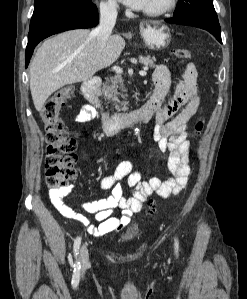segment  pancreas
Returning a JSON list of instances; mask_svg holds the SVG:
<instances>
[{"instance_id":"1","label":"pancreas","mask_w":247,"mask_h":299,"mask_svg":"<svg viewBox=\"0 0 247 299\" xmlns=\"http://www.w3.org/2000/svg\"><path fill=\"white\" fill-rule=\"evenodd\" d=\"M138 60L146 68L155 66V57L151 58L150 56H146V57L139 56ZM125 91L126 89L124 86V81L120 75H116L112 77L110 80H107L102 88V94L104 98L112 102L113 105H116V109L118 111L121 110L125 111L127 109L126 102L125 101L120 102L118 99V96H121V98L126 97V94L124 93ZM117 103L121 104V106H118Z\"/></svg>"}]
</instances>
